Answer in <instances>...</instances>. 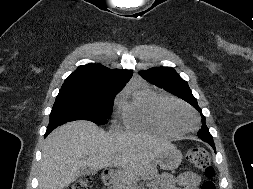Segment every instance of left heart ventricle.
I'll return each instance as SVG.
<instances>
[{"label":"left heart ventricle","instance_id":"b2bd125f","mask_svg":"<svg viewBox=\"0 0 253 189\" xmlns=\"http://www.w3.org/2000/svg\"><path fill=\"white\" fill-rule=\"evenodd\" d=\"M173 118L178 125L184 128L191 127L193 124L191 115L186 110L181 108H177L173 111Z\"/></svg>","mask_w":253,"mask_h":189}]
</instances>
